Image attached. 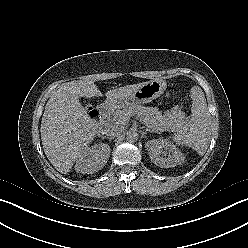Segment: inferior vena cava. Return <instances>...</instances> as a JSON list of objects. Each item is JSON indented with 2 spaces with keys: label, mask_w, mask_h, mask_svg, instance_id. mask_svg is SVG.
I'll return each mask as SVG.
<instances>
[{
  "label": "inferior vena cava",
  "mask_w": 248,
  "mask_h": 248,
  "mask_svg": "<svg viewBox=\"0 0 248 248\" xmlns=\"http://www.w3.org/2000/svg\"><path fill=\"white\" fill-rule=\"evenodd\" d=\"M122 131H123V128L119 125H108L104 129V134L110 138H114L120 135Z\"/></svg>",
  "instance_id": "obj_1"
}]
</instances>
